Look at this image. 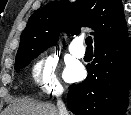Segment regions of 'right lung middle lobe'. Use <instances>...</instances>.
<instances>
[{
    "label": "right lung middle lobe",
    "mask_w": 131,
    "mask_h": 115,
    "mask_svg": "<svg viewBox=\"0 0 131 115\" xmlns=\"http://www.w3.org/2000/svg\"><path fill=\"white\" fill-rule=\"evenodd\" d=\"M41 52H43V50H39V51L32 50V51L26 52L24 55L20 57H17L15 61V69L19 70V69L24 68L30 63L31 60L36 58Z\"/></svg>",
    "instance_id": "1"
}]
</instances>
